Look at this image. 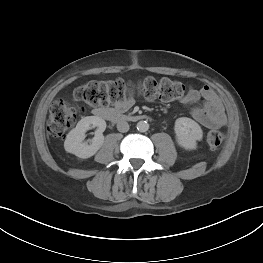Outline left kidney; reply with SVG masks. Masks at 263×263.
Here are the masks:
<instances>
[{"label": "left kidney", "instance_id": "5707ae66", "mask_svg": "<svg viewBox=\"0 0 263 263\" xmlns=\"http://www.w3.org/2000/svg\"><path fill=\"white\" fill-rule=\"evenodd\" d=\"M174 130L178 144L187 150L196 149L197 141L203 137L200 125L187 117L176 119Z\"/></svg>", "mask_w": 263, "mask_h": 263}]
</instances>
